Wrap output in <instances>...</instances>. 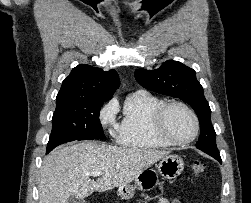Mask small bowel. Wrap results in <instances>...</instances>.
I'll use <instances>...</instances> for the list:
<instances>
[{
	"mask_svg": "<svg viewBox=\"0 0 251 203\" xmlns=\"http://www.w3.org/2000/svg\"><path fill=\"white\" fill-rule=\"evenodd\" d=\"M158 203H181V202L177 199L161 198Z\"/></svg>",
	"mask_w": 251,
	"mask_h": 203,
	"instance_id": "1",
	"label": "small bowel"
}]
</instances>
